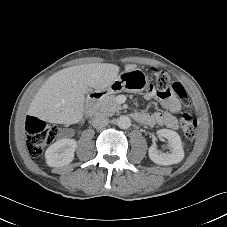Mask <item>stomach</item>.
I'll use <instances>...</instances> for the list:
<instances>
[{"label":"stomach","instance_id":"obj_1","mask_svg":"<svg viewBox=\"0 0 227 227\" xmlns=\"http://www.w3.org/2000/svg\"><path fill=\"white\" fill-rule=\"evenodd\" d=\"M149 80L141 69L122 72L106 89L109 94L120 92L140 93L146 89Z\"/></svg>","mask_w":227,"mask_h":227}]
</instances>
